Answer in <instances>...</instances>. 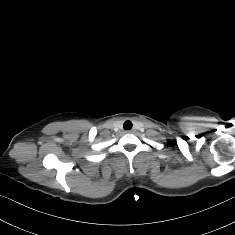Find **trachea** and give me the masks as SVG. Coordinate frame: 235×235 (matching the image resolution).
Listing matches in <instances>:
<instances>
[{
	"mask_svg": "<svg viewBox=\"0 0 235 235\" xmlns=\"http://www.w3.org/2000/svg\"><path fill=\"white\" fill-rule=\"evenodd\" d=\"M123 127H124L125 130H130V129L132 128V123H131V121H126V122H124Z\"/></svg>",
	"mask_w": 235,
	"mask_h": 235,
	"instance_id": "1",
	"label": "trachea"
}]
</instances>
